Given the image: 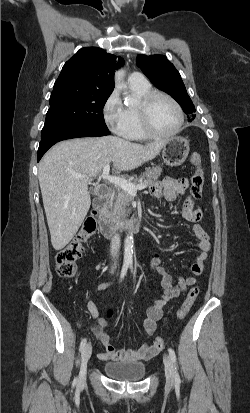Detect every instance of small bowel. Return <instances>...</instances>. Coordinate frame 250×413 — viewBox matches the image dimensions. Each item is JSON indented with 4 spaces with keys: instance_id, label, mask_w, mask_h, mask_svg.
<instances>
[{
    "instance_id": "small-bowel-1",
    "label": "small bowel",
    "mask_w": 250,
    "mask_h": 413,
    "mask_svg": "<svg viewBox=\"0 0 250 413\" xmlns=\"http://www.w3.org/2000/svg\"><path fill=\"white\" fill-rule=\"evenodd\" d=\"M188 188V180L185 178L175 179L166 177L164 180L155 183L151 187V195L155 198L163 197L168 201H175L185 195ZM182 216L192 223V231L197 239L196 246L199 249L191 265L192 276L179 277L177 283H173L172 276L165 271L161 265L160 253H155L150 260V269L161 276L162 294L157 298L153 305L147 308L142 326L147 335L151 336L156 330L157 322L163 316L164 306L172 299L179 297L186 289L196 283L204 267V261L208 257L211 249L209 233L204 230L198 222L203 219L202 210L196 207L194 202L188 198L182 208ZM109 283L103 282L98 286V290L107 288ZM87 308L90 314L96 319L93 328L94 334L104 347V352L98 355L101 360L110 361H139L147 360L157 355L161 350L156 349L153 344H143L136 349L117 350L110 337L103 332L108 322L99 316L96 305L89 301Z\"/></svg>"
}]
</instances>
